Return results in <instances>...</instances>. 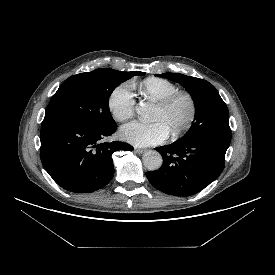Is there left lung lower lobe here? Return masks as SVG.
<instances>
[{"label": "left lung lower lobe", "instance_id": "1", "mask_svg": "<svg viewBox=\"0 0 275 275\" xmlns=\"http://www.w3.org/2000/svg\"><path fill=\"white\" fill-rule=\"evenodd\" d=\"M229 144L191 139L157 147L163 164L160 169L147 172V178L155 188L170 195L196 194L222 173Z\"/></svg>", "mask_w": 275, "mask_h": 275}]
</instances>
